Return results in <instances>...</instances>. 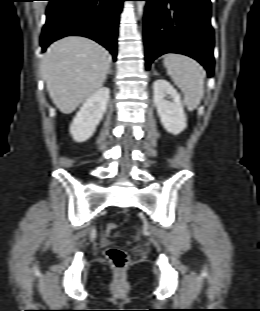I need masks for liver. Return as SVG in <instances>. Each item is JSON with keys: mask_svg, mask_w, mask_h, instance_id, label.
<instances>
[{"mask_svg": "<svg viewBox=\"0 0 260 311\" xmlns=\"http://www.w3.org/2000/svg\"><path fill=\"white\" fill-rule=\"evenodd\" d=\"M110 63L108 52L91 39L69 36L53 43L41 70L56 107L64 114L72 113L102 87Z\"/></svg>", "mask_w": 260, "mask_h": 311, "instance_id": "liver-1", "label": "liver"}]
</instances>
